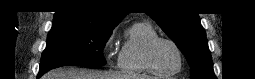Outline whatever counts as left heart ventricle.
Segmentation results:
<instances>
[{"mask_svg":"<svg viewBox=\"0 0 255 79\" xmlns=\"http://www.w3.org/2000/svg\"><path fill=\"white\" fill-rule=\"evenodd\" d=\"M152 57L154 64L163 71H173L179 64L176 50L166 42H160L154 47Z\"/></svg>","mask_w":255,"mask_h":79,"instance_id":"b2bd125f","label":"left heart ventricle"}]
</instances>
